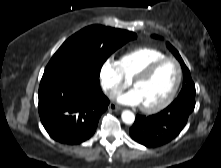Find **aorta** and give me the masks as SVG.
Listing matches in <instances>:
<instances>
[{
  "label": "aorta",
  "instance_id": "aorta-1",
  "mask_svg": "<svg viewBox=\"0 0 221 168\" xmlns=\"http://www.w3.org/2000/svg\"><path fill=\"white\" fill-rule=\"evenodd\" d=\"M121 118L125 124H132L135 120V115L133 112L129 110H125L122 112Z\"/></svg>",
  "mask_w": 221,
  "mask_h": 168
}]
</instances>
